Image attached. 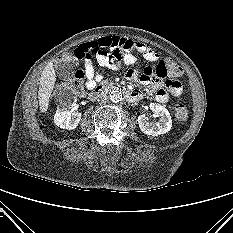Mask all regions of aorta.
Masks as SVG:
<instances>
[{
  "label": "aorta",
  "mask_w": 233,
  "mask_h": 233,
  "mask_svg": "<svg viewBox=\"0 0 233 233\" xmlns=\"http://www.w3.org/2000/svg\"><path fill=\"white\" fill-rule=\"evenodd\" d=\"M110 100L114 103H118L122 100V93L118 90H114L110 93Z\"/></svg>",
  "instance_id": "762f6f07"
}]
</instances>
